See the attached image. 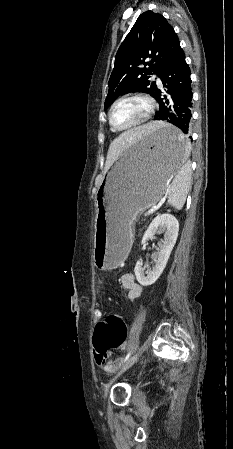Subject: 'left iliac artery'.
<instances>
[{"label": "left iliac artery", "instance_id": "left-iliac-artery-1", "mask_svg": "<svg viewBox=\"0 0 233 449\" xmlns=\"http://www.w3.org/2000/svg\"><path fill=\"white\" fill-rule=\"evenodd\" d=\"M131 354H132V351H129L128 354L124 357L123 362H126L129 359V357L131 356Z\"/></svg>", "mask_w": 233, "mask_h": 449}]
</instances>
